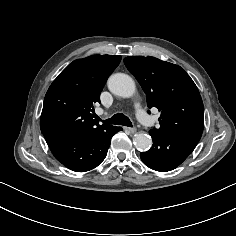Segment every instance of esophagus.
<instances>
[{
	"label": "esophagus",
	"instance_id": "esophagus-1",
	"mask_svg": "<svg viewBox=\"0 0 236 236\" xmlns=\"http://www.w3.org/2000/svg\"><path fill=\"white\" fill-rule=\"evenodd\" d=\"M131 134H134L137 132V129L135 127H127L126 128Z\"/></svg>",
	"mask_w": 236,
	"mask_h": 236
}]
</instances>
